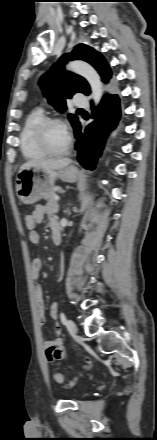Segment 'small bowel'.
I'll list each match as a JSON object with an SVG mask.
<instances>
[{
  "instance_id": "small-bowel-1",
  "label": "small bowel",
  "mask_w": 157,
  "mask_h": 440,
  "mask_svg": "<svg viewBox=\"0 0 157 440\" xmlns=\"http://www.w3.org/2000/svg\"><path fill=\"white\" fill-rule=\"evenodd\" d=\"M57 211V205L54 202H48L43 205H38L35 207L32 215L36 220L37 224L41 223L44 220V217L48 214L50 215V227L59 226L58 221L55 218V213ZM40 236L37 230L29 232V240L33 244H37L39 242ZM42 268V260L40 258H34L31 263L32 269V278L35 281V295H36V304H37V314H38V323L40 326H43L45 323V314H46V306L43 299V293L41 286L38 284L39 274ZM50 314L53 319H57L58 317V304L53 303L50 309ZM60 326L56 324V333L57 337L53 340H46L44 342L45 354L46 358L50 363H54L55 361L62 360L66 351L62 347L63 340L60 337ZM55 346H61L63 348V355L60 358H55L50 354V350Z\"/></svg>"
}]
</instances>
